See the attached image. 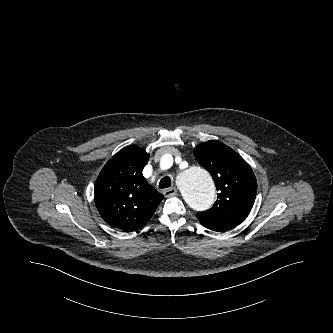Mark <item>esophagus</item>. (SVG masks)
<instances>
[{
    "instance_id": "34e87169",
    "label": "esophagus",
    "mask_w": 333,
    "mask_h": 333,
    "mask_svg": "<svg viewBox=\"0 0 333 333\" xmlns=\"http://www.w3.org/2000/svg\"><path fill=\"white\" fill-rule=\"evenodd\" d=\"M163 194L165 197H172L177 195V188L176 187H170L163 191Z\"/></svg>"
}]
</instances>
